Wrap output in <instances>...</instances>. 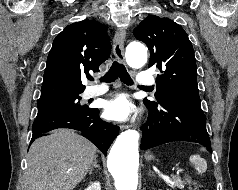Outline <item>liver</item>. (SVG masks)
Instances as JSON below:
<instances>
[{
    "label": "liver",
    "instance_id": "obj_1",
    "mask_svg": "<svg viewBox=\"0 0 238 190\" xmlns=\"http://www.w3.org/2000/svg\"><path fill=\"white\" fill-rule=\"evenodd\" d=\"M96 150L70 129L38 138L28 152L25 190H74L93 164Z\"/></svg>",
    "mask_w": 238,
    "mask_h": 190
}]
</instances>
